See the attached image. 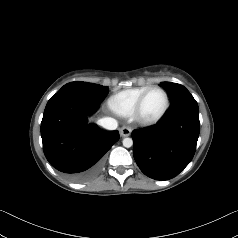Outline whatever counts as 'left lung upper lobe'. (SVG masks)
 Here are the masks:
<instances>
[{
    "mask_svg": "<svg viewBox=\"0 0 238 238\" xmlns=\"http://www.w3.org/2000/svg\"><path fill=\"white\" fill-rule=\"evenodd\" d=\"M161 85L166 89L169 94L171 102L180 96L189 93V91L182 85L172 82H162Z\"/></svg>",
    "mask_w": 238,
    "mask_h": 238,
    "instance_id": "obj_1",
    "label": "left lung upper lobe"
}]
</instances>
